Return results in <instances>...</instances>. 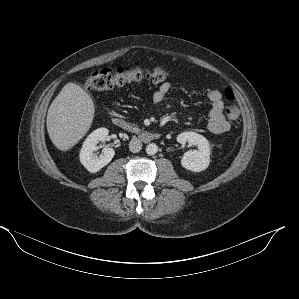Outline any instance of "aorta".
Here are the masks:
<instances>
[{
    "instance_id": "1",
    "label": "aorta",
    "mask_w": 299,
    "mask_h": 299,
    "mask_svg": "<svg viewBox=\"0 0 299 299\" xmlns=\"http://www.w3.org/2000/svg\"><path fill=\"white\" fill-rule=\"evenodd\" d=\"M158 151V146L154 143L148 144L146 146V153L148 155H155Z\"/></svg>"
}]
</instances>
